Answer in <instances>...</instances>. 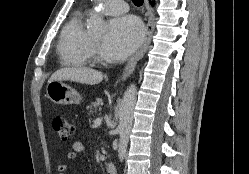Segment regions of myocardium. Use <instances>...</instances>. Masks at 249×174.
I'll return each instance as SVG.
<instances>
[{
  "instance_id": "1",
  "label": "myocardium",
  "mask_w": 249,
  "mask_h": 174,
  "mask_svg": "<svg viewBox=\"0 0 249 174\" xmlns=\"http://www.w3.org/2000/svg\"><path fill=\"white\" fill-rule=\"evenodd\" d=\"M90 50H91V53H92L93 56H94V59H95L97 62L103 63V60L101 59L100 54H99V52H98L97 46H96V44L93 42V40H91V42H90Z\"/></svg>"
}]
</instances>
